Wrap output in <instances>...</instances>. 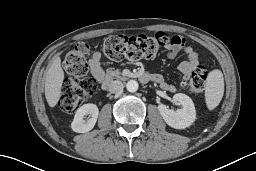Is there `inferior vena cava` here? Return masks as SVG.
Returning a JSON list of instances; mask_svg holds the SVG:
<instances>
[{"mask_svg":"<svg viewBox=\"0 0 256 171\" xmlns=\"http://www.w3.org/2000/svg\"><path fill=\"white\" fill-rule=\"evenodd\" d=\"M123 83L119 80L112 81L108 85V91L111 93H121L123 91Z\"/></svg>","mask_w":256,"mask_h":171,"instance_id":"602c4592","label":"inferior vena cava"}]
</instances>
